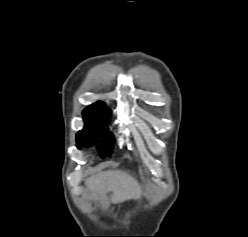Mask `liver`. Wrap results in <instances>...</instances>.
Returning <instances> with one entry per match:
<instances>
[{
    "instance_id": "6515ba94",
    "label": "liver",
    "mask_w": 248,
    "mask_h": 237,
    "mask_svg": "<svg viewBox=\"0 0 248 237\" xmlns=\"http://www.w3.org/2000/svg\"><path fill=\"white\" fill-rule=\"evenodd\" d=\"M85 184L94 197L100 198L105 208L109 206L106 197L109 192L113 193L116 203L138 199L141 196V188L135 178L121 170L99 172L86 180Z\"/></svg>"
}]
</instances>
